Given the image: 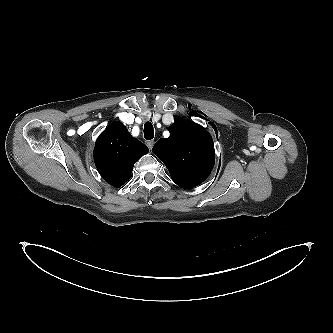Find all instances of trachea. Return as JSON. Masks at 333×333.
<instances>
[{
	"label": "trachea",
	"instance_id": "trachea-1",
	"mask_svg": "<svg viewBox=\"0 0 333 333\" xmlns=\"http://www.w3.org/2000/svg\"><path fill=\"white\" fill-rule=\"evenodd\" d=\"M154 137L153 125L150 122L144 124V138L146 140H151Z\"/></svg>",
	"mask_w": 333,
	"mask_h": 333
}]
</instances>
